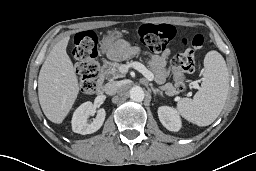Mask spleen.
Listing matches in <instances>:
<instances>
[{
    "label": "spleen",
    "instance_id": "3e777b00",
    "mask_svg": "<svg viewBox=\"0 0 256 171\" xmlns=\"http://www.w3.org/2000/svg\"><path fill=\"white\" fill-rule=\"evenodd\" d=\"M200 89L193 99L182 98L177 103L179 114L198 126H208L219 116L229 90V73L223 56L209 51L204 58Z\"/></svg>",
    "mask_w": 256,
    "mask_h": 171
}]
</instances>
